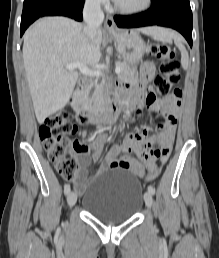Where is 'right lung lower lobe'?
I'll list each match as a JSON object with an SVG mask.
<instances>
[{"label": "right lung lower lobe", "instance_id": "right-lung-lower-lobe-1", "mask_svg": "<svg viewBox=\"0 0 219 258\" xmlns=\"http://www.w3.org/2000/svg\"><path fill=\"white\" fill-rule=\"evenodd\" d=\"M84 0H29L23 3L20 35L36 19L43 16H66L78 21L83 19Z\"/></svg>", "mask_w": 219, "mask_h": 258}]
</instances>
